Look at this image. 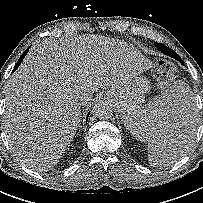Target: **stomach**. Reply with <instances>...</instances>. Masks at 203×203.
<instances>
[{"label": "stomach", "mask_w": 203, "mask_h": 203, "mask_svg": "<svg viewBox=\"0 0 203 203\" xmlns=\"http://www.w3.org/2000/svg\"><path fill=\"white\" fill-rule=\"evenodd\" d=\"M149 88L148 80L141 76L136 77L131 83L114 91L111 101L122 113L126 127H130V116L141 109L145 93Z\"/></svg>", "instance_id": "1"}]
</instances>
